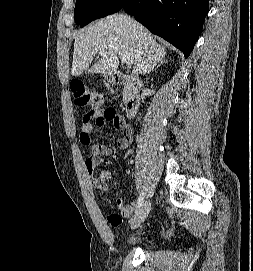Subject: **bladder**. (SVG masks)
Listing matches in <instances>:
<instances>
[{"label": "bladder", "mask_w": 253, "mask_h": 271, "mask_svg": "<svg viewBox=\"0 0 253 271\" xmlns=\"http://www.w3.org/2000/svg\"><path fill=\"white\" fill-rule=\"evenodd\" d=\"M155 241V236L151 233H142L139 235L133 236L131 239L128 240L127 246L128 247H147L151 245Z\"/></svg>", "instance_id": "1"}]
</instances>
